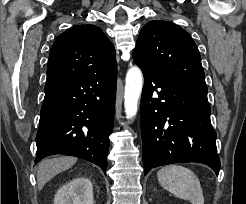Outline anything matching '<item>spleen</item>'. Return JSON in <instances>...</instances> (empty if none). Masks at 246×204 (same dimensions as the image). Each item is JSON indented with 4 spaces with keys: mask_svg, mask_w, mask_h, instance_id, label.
Returning a JSON list of instances; mask_svg holds the SVG:
<instances>
[{
    "mask_svg": "<svg viewBox=\"0 0 246 204\" xmlns=\"http://www.w3.org/2000/svg\"><path fill=\"white\" fill-rule=\"evenodd\" d=\"M160 185L175 196L192 204H204L202 187L198 177L189 168L167 165L157 172Z\"/></svg>",
    "mask_w": 246,
    "mask_h": 204,
    "instance_id": "3e777b00",
    "label": "spleen"
}]
</instances>
